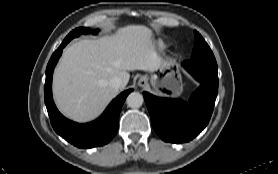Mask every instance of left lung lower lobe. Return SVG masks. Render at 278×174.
<instances>
[{
  "label": "left lung lower lobe",
  "instance_id": "1",
  "mask_svg": "<svg viewBox=\"0 0 278 174\" xmlns=\"http://www.w3.org/2000/svg\"><path fill=\"white\" fill-rule=\"evenodd\" d=\"M182 65L201 83L188 102L143 92L155 132L171 143L188 142L207 126L218 93L217 68L193 59Z\"/></svg>",
  "mask_w": 278,
  "mask_h": 174
}]
</instances>
